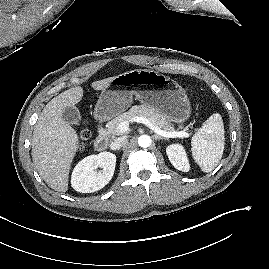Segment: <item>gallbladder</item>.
I'll use <instances>...</instances> for the list:
<instances>
[{
    "label": "gallbladder",
    "mask_w": 269,
    "mask_h": 269,
    "mask_svg": "<svg viewBox=\"0 0 269 269\" xmlns=\"http://www.w3.org/2000/svg\"><path fill=\"white\" fill-rule=\"evenodd\" d=\"M62 117L63 120L70 125H79L81 121L80 112L75 106L65 108Z\"/></svg>",
    "instance_id": "bac80fb5"
}]
</instances>
